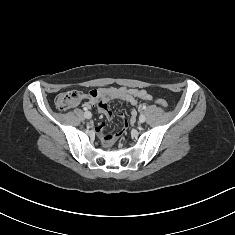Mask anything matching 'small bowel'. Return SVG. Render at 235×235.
Wrapping results in <instances>:
<instances>
[{"label":"small bowel","mask_w":235,"mask_h":235,"mask_svg":"<svg viewBox=\"0 0 235 235\" xmlns=\"http://www.w3.org/2000/svg\"><path fill=\"white\" fill-rule=\"evenodd\" d=\"M110 100H122L126 101L131 105H136L138 100L152 101V95L144 89L138 88H125V87H108L94 89L89 92V94L84 95L83 101L85 107L97 106L100 113H102L108 120L113 116V113L108 105ZM131 117L134 118L137 115V111L132 109ZM123 116L122 113H119ZM105 123H100L97 125H91V130L102 135ZM105 136L102 135V140L104 141Z\"/></svg>","instance_id":"small-bowel-1"}]
</instances>
